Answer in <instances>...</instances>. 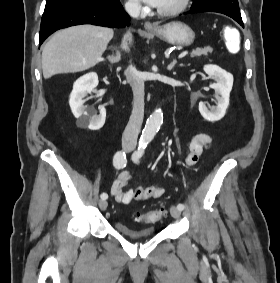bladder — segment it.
<instances>
[{"label":"bladder","instance_id":"31cf9c89","mask_svg":"<svg viewBox=\"0 0 280 283\" xmlns=\"http://www.w3.org/2000/svg\"><path fill=\"white\" fill-rule=\"evenodd\" d=\"M115 229L120 235L134 240L146 239L155 235V227L153 225H144L139 229H132L126 223L119 221L115 223Z\"/></svg>","mask_w":280,"mask_h":283}]
</instances>
